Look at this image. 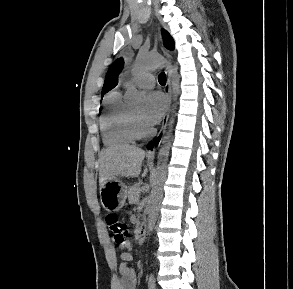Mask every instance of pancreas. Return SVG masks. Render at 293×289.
<instances>
[{"label":"pancreas","mask_w":293,"mask_h":289,"mask_svg":"<svg viewBox=\"0 0 293 289\" xmlns=\"http://www.w3.org/2000/svg\"><path fill=\"white\" fill-rule=\"evenodd\" d=\"M139 193H140V184H135L131 186L128 191V198L130 202L132 203L137 202Z\"/></svg>","instance_id":"obj_1"}]
</instances>
